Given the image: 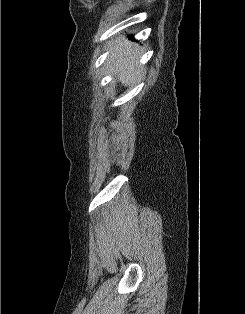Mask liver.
<instances>
[{
  "label": "liver",
  "instance_id": "liver-1",
  "mask_svg": "<svg viewBox=\"0 0 245 314\" xmlns=\"http://www.w3.org/2000/svg\"><path fill=\"white\" fill-rule=\"evenodd\" d=\"M124 41V37L119 36L109 45L110 48L117 45H120V47L116 48L108 58L107 68L110 72L117 74L122 84L130 85L138 81L142 76V68L136 66V61L141 55V50L136 44L121 46V43Z\"/></svg>",
  "mask_w": 245,
  "mask_h": 314
}]
</instances>
